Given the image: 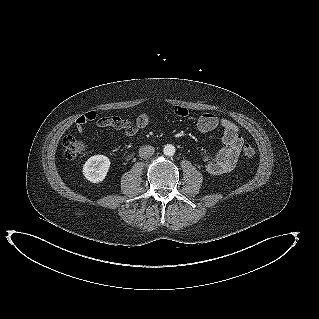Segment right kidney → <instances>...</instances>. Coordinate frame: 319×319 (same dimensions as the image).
Returning <instances> with one entry per match:
<instances>
[{
	"mask_svg": "<svg viewBox=\"0 0 319 319\" xmlns=\"http://www.w3.org/2000/svg\"><path fill=\"white\" fill-rule=\"evenodd\" d=\"M110 159L104 155H94L83 165V175L93 183L102 182L110 168Z\"/></svg>",
	"mask_w": 319,
	"mask_h": 319,
	"instance_id": "right-kidney-1",
	"label": "right kidney"
}]
</instances>
